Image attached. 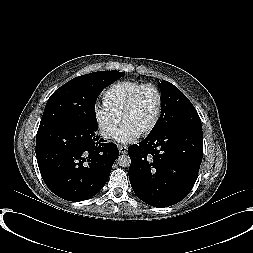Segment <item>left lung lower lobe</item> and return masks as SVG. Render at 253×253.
<instances>
[{"instance_id": "obj_1", "label": "left lung lower lobe", "mask_w": 253, "mask_h": 253, "mask_svg": "<svg viewBox=\"0 0 253 253\" xmlns=\"http://www.w3.org/2000/svg\"><path fill=\"white\" fill-rule=\"evenodd\" d=\"M134 193L154 207L183 200L193 188L203 157L202 129L178 128L148 135L128 148Z\"/></svg>"}]
</instances>
